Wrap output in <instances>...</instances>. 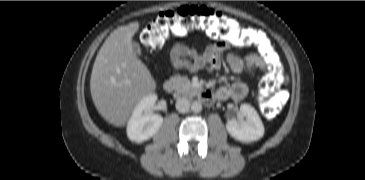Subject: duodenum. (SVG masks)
Instances as JSON below:
<instances>
[{"instance_id":"410a0bca","label":"duodenum","mask_w":365,"mask_h":180,"mask_svg":"<svg viewBox=\"0 0 365 180\" xmlns=\"http://www.w3.org/2000/svg\"><path fill=\"white\" fill-rule=\"evenodd\" d=\"M163 90L167 93H170L174 90L175 88V84L172 80H165L163 82ZM199 95V99L201 100V102L208 104L213 100V94L210 90L207 89H201L198 92Z\"/></svg>"}]
</instances>
